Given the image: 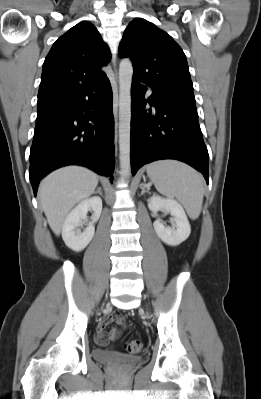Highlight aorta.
<instances>
[{"label": "aorta", "instance_id": "1", "mask_svg": "<svg viewBox=\"0 0 261 399\" xmlns=\"http://www.w3.org/2000/svg\"><path fill=\"white\" fill-rule=\"evenodd\" d=\"M133 66L128 58L119 65V152L122 175L130 176L131 84Z\"/></svg>", "mask_w": 261, "mask_h": 399}]
</instances>
